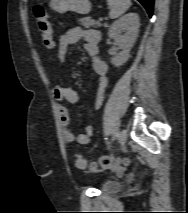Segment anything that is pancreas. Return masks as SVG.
<instances>
[{"label":"pancreas","instance_id":"obj_1","mask_svg":"<svg viewBox=\"0 0 188 213\" xmlns=\"http://www.w3.org/2000/svg\"><path fill=\"white\" fill-rule=\"evenodd\" d=\"M80 24L86 28L100 26V23L91 19V17H85L80 19Z\"/></svg>","mask_w":188,"mask_h":213}]
</instances>
